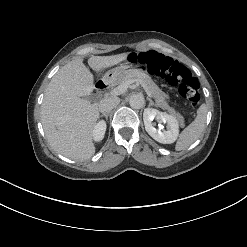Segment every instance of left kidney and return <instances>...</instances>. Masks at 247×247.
Returning a JSON list of instances; mask_svg holds the SVG:
<instances>
[{"label": "left kidney", "mask_w": 247, "mask_h": 247, "mask_svg": "<svg viewBox=\"0 0 247 247\" xmlns=\"http://www.w3.org/2000/svg\"><path fill=\"white\" fill-rule=\"evenodd\" d=\"M154 119L159 123L166 124L167 129H156L152 123ZM143 120L147 133L157 142L162 144H171L177 139L179 134V124L175 117L156 109L147 108L144 110Z\"/></svg>", "instance_id": "left-kidney-1"}]
</instances>
